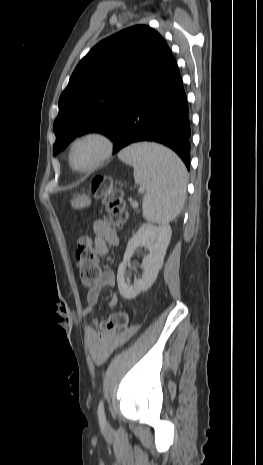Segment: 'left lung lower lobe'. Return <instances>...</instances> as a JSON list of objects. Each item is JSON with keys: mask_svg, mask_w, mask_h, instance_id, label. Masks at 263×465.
Returning <instances> with one entry per match:
<instances>
[{"mask_svg": "<svg viewBox=\"0 0 263 465\" xmlns=\"http://www.w3.org/2000/svg\"><path fill=\"white\" fill-rule=\"evenodd\" d=\"M113 141V154L135 142L161 143L174 150L190 169L189 108L168 46L137 81Z\"/></svg>", "mask_w": 263, "mask_h": 465, "instance_id": "left-lung-lower-lobe-1", "label": "left lung lower lobe"}]
</instances>
